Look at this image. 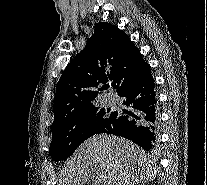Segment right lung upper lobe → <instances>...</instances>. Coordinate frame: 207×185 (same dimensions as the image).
Here are the masks:
<instances>
[{"label": "right lung upper lobe", "instance_id": "obj_1", "mask_svg": "<svg viewBox=\"0 0 207 185\" xmlns=\"http://www.w3.org/2000/svg\"><path fill=\"white\" fill-rule=\"evenodd\" d=\"M150 72L128 35L117 26L100 22L86 47L77 54L63 72L53 105L52 128L94 110L100 84L113 81L114 88L137 80Z\"/></svg>", "mask_w": 207, "mask_h": 185}]
</instances>
